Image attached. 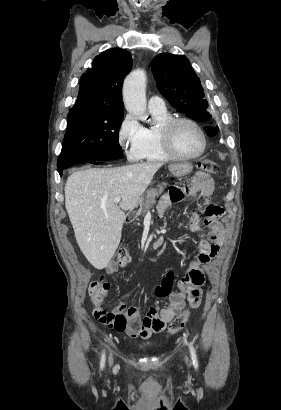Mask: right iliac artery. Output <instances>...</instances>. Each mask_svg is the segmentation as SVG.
<instances>
[{"label":"right iliac artery","mask_w":281,"mask_h":410,"mask_svg":"<svg viewBox=\"0 0 281 410\" xmlns=\"http://www.w3.org/2000/svg\"><path fill=\"white\" fill-rule=\"evenodd\" d=\"M104 363H105V355L103 354L101 357V362H100L101 367H104Z\"/></svg>","instance_id":"right-iliac-artery-1"}]
</instances>
